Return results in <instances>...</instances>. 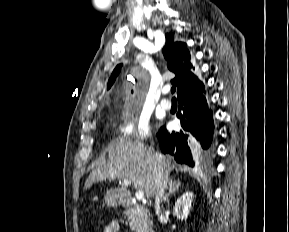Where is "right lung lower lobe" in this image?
<instances>
[{
    "label": "right lung lower lobe",
    "mask_w": 289,
    "mask_h": 232,
    "mask_svg": "<svg viewBox=\"0 0 289 232\" xmlns=\"http://www.w3.org/2000/svg\"><path fill=\"white\" fill-rule=\"evenodd\" d=\"M205 90L181 97L179 113L184 129L180 132L169 133L164 127L157 134L161 151L174 156L178 163L194 167V160L204 154L205 150H212L214 146L213 113L208 108ZM183 111L181 114L180 111Z\"/></svg>",
    "instance_id": "1"
}]
</instances>
